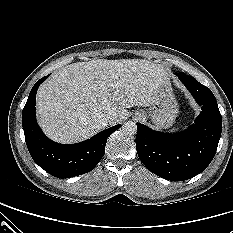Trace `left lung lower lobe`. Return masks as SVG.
<instances>
[{"label":"left lung lower lobe","mask_w":233,"mask_h":233,"mask_svg":"<svg viewBox=\"0 0 233 233\" xmlns=\"http://www.w3.org/2000/svg\"><path fill=\"white\" fill-rule=\"evenodd\" d=\"M202 106L200 115L180 133H162L137 123L140 160L154 174L171 181L193 178L212 161L222 131V117L212 91L194 77L177 74Z\"/></svg>","instance_id":"left-lung-lower-lobe-1"}]
</instances>
